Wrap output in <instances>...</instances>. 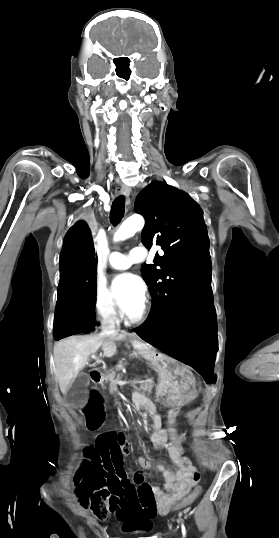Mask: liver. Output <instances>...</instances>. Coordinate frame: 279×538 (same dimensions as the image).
<instances>
[{"label":"liver","mask_w":279,"mask_h":538,"mask_svg":"<svg viewBox=\"0 0 279 538\" xmlns=\"http://www.w3.org/2000/svg\"><path fill=\"white\" fill-rule=\"evenodd\" d=\"M104 338H108L107 342ZM104 338L102 336H70V338L55 342V370L63 396H65L69 384H72L80 370H83L91 354H96L101 348L103 356L112 358L117 352L115 342H120L126 338V334H110Z\"/></svg>","instance_id":"liver-1"}]
</instances>
